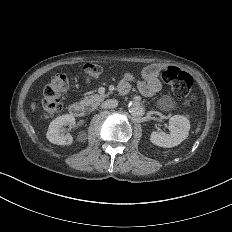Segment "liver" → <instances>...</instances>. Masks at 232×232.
Returning <instances> with one entry per match:
<instances>
[{
  "instance_id": "1",
  "label": "liver",
  "mask_w": 232,
  "mask_h": 232,
  "mask_svg": "<svg viewBox=\"0 0 232 232\" xmlns=\"http://www.w3.org/2000/svg\"><path fill=\"white\" fill-rule=\"evenodd\" d=\"M31 108H32V110L35 109V104L34 103L31 104Z\"/></svg>"
}]
</instances>
